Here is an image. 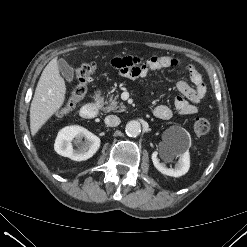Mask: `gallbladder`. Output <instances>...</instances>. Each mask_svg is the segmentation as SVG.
<instances>
[{
	"mask_svg": "<svg viewBox=\"0 0 247 247\" xmlns=\"http://www.w3.org/2000/svg\"><path fill=\"white\" fill-rule=\"evenodd\" d=\"M57 64L63 77L67 81H71L74 78L73 68L62 58L57 60Z\"/></svg>",
	"mask_w": 247,
	"mask_h": 247,
	"instance_id": "1",
	"label": "gallbladder"
}]
</instances>
